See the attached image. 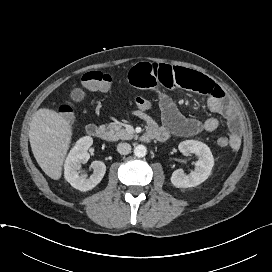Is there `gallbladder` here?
I'll use <instances>...</instances> for the list:
<instances>
[{
    "label": "gallbladder",
    "instance_id": "bac80fb5",
    "mask_svg": "<svg viewBox=\"0 0 272 272\" xmlns=\"http://www.w3.org/2000/svg\"><path fill=\"white\" fill-rule=\"evenodd\" d=\"M71 98L74 101H80L84 98V92L81 89H75L71 93Z\"/></svg>",
    "mask_w": 272,
    "mask_h": 272
}]
</instances>
